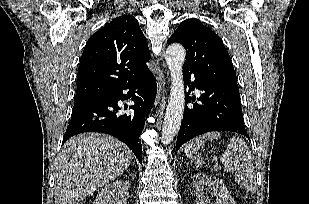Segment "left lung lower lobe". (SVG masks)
<instances>
[{
	"instance_id": "obj_1",
	"label": "left lung lower lobe",
	"mask_w": 309,
	"mask_h": 204,
	"mask_svg": "<svg viewBox=\"0 0 309 204\" xmlns=\"http://www.w3.org/2000/svg\"><path fill=\"white\" fill-rule=\"evenodd\" d=\"M184 81L191 90L202 91L192 107H185L177 136L176 151L190 139L211 131H233L249 136L245 130L237 83L219 80L200 71L183 69ZM191 76L193 81H190ZM195 97H187V103Z\"/></svg>"
}]
</instances>
